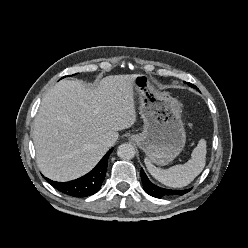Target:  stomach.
<instances>
[{
    "label": "stomach",
    "instance_id": "obj_1",
    "mask_svg": "<svg viewBox=\"0 0 248 248\" xmlns=\"http://www.w3.org/2000/svg\"><path fill=\"white\" fill-rule=\"evenodd\" d=\"M134 89L144 127L130 139L145 152L151 163L167 165L180 154L186 142L181 106L168 93L157 90L146 74L136 76Z\"/></svg>",
    "mask_w": 248,
    "mask_h": 248
}]
</instances>
